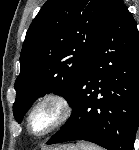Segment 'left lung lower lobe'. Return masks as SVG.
<instances>
[{
    "label": "left lung lower lobe",
    "instance_id": "1",
    "mask_svg": "<svg viewBox=\"0 0 139 150\" xmlns=\"http://www.w3.org/2000/svg\"><path fill=\"white\" fill-rule=\"evenodd\" d=\"M72 115L46 144L86 140L108 150H132L139 122V34L122 0L69 101Z\"/></svg>",
    "mask_w": 139,
    "mask_h": 150
}]
</instances>
